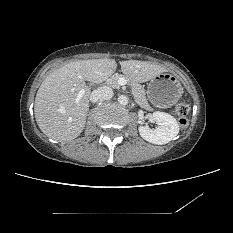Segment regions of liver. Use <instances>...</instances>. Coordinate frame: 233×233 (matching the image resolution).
I'll list each match as a JSON object with an SVG mask.
<instances>
[{
	"label": "liver",
	"instance_id": "1",
	"mask_svg": "<svg viewBox=\"0 0 233 233\" xmlns=\"http://www.w3.org/2000/svg\"><path fill=\"white\" fill-rule=\"evenodd\" d=\"M121 71L129 80L146 82L167 69L146 61H121ZM117 69L114 59L78 60L50 73L40 85L34 114L40 130L49 138L64 142L83 131L89 110L90 90L85 81L101 83ZM85 93L76 101L78 93Z\"/></svg>",
	"mask_w": 233,
	"mask_h": 233
}]
</instances>
